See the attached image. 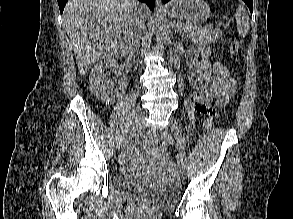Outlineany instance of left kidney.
<instances>
[{
	"label": "left kidney",
	"mask_w": 293,
	"mask_h": 219,
	"mask_svg": "<svg viewBox=\"0 0 293 219\" xmlns=\"http://www.w3.org/2000/svg\"><path fill=\"white\" fill-rule=\"evenodd\" d=\"M211 71V63L208 60H203L189 73L188 80L196 89H205L211 79Z\"/></svg>",
	"instance_id": "1"
}]
</instances>
